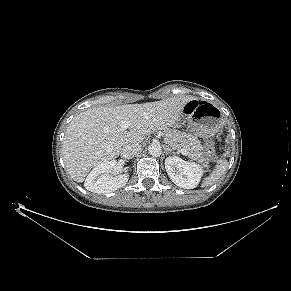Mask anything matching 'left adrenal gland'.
Masks as SVG:
<instances>
[{"label":"left adrenal gland","mask_w":291,"mask_h":291,"mask_svg":"<svg viewBox=\"0 0 291 291\" xmlns=\"http://www.w3.org/2000/svg\"><path fill=\"white\" fill-rule=\"evenodd\" d=\"M165 152L167 155L170 153L175 154V152L169 146H165Z\"/></svg>","instance_id":"left-adrenal-gland-1"}]
</instances>
